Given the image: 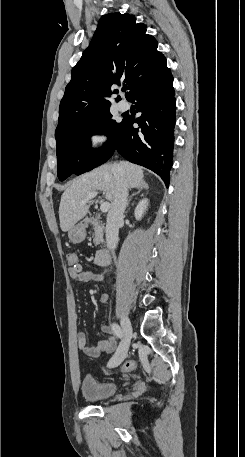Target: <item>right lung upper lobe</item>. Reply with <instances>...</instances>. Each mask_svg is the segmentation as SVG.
<instances>
[{"label":"right lung upper lobe","mask_w":245,"mask_h":457,"mask_svg":"<svg viewBox=\"0 0 245 457\" xmlns=\"http://www.w3.org/2000/svg\"><path fill=\"white\" fill-rule=\"evenodd\" d=\"M157 46V40L146 34V25L136 23L134 15H103L89 47L71 71L57 128L109 107L105 97L112 94L114 83H126L130 96L140 83L167 68Z\"/></svg>","instance_id":"1"}]
</instances>
